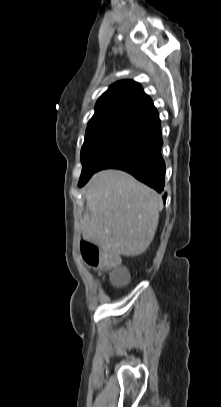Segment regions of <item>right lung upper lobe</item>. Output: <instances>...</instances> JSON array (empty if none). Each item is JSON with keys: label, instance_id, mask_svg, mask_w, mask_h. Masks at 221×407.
Instances as JSON below:
<instances>
[{"label": "right lung upper lobe", "instance_id": "obj_1", "mask_svg": "<svg viewBox=\"0 0 221 407\" xmlns=\"http://www.w3.org/2000/svg\"><path fill=\"white\" fill-rule=\"evenodd\" d=\"M156 115V108L139 83L132 80L119 81L98 99L86 134L114 126L140 127Z\"/></svg>", "mask_w": 221, "mask_h": 407}]
</instances>
